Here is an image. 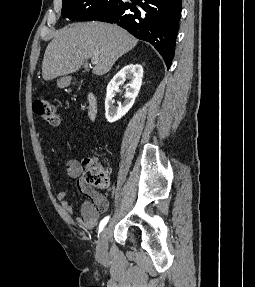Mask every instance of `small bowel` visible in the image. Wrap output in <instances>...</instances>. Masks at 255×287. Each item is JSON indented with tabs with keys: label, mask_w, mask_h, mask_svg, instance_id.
<instances>
[{
	"label": "small bowel",
	"mask_w": 255,
	"mask_h": 287,
	"mask_svg": "<svg viewBox=\"0 0 255 287\" xmlns=\"http://www.w3.org/2000/svg\"><path fill=\"white\" fill-rule=\"evenodd\" d=\"M65 173L68 178L76 180L79 191L90 200L82 204L80 215L74 219L72 207L67 200V193L65 191L57 193L56 198L62 215L68 222H75L84 229L93 230L99 223L100 215L108 209V201L103 195L92 191L86 185L82 178L83 168L78 160H68L65 165Z\"/></svg>",
	"instance_id": "c3829d8e"
}]
</instances>
